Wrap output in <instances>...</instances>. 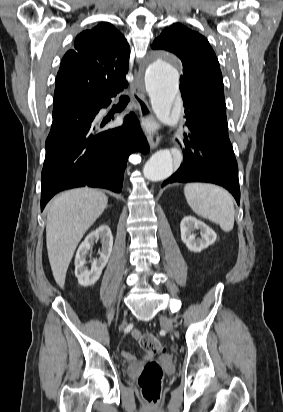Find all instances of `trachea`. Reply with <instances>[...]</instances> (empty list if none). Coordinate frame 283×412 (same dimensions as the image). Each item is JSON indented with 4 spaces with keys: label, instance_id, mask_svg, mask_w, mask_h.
Masks as SVG:
<instances>
[{
    "label": "trachea",
    "instance_id": "obj_1",
    "mask_svg": "<svg viewBox=\"0 0 283 412\" xmlns=\"http://www.w3.org/2000/svg\"><path fill=\"white\" fill-rule=\"evenodd\" d=\"M120 101H121V102H128V101H129V97L123 95V96L120 97Z\"/></svg>",
    "mask_w": 283,
    "mask_h": 412
}]
</instances>
